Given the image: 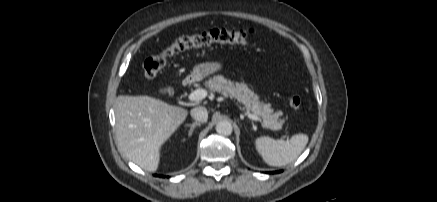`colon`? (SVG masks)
<instances>
[{
	"label": "colon",
	"instance_id": "5ec220e1",
	"mask_svg": "<svg viewBox=\"0 0 437 202\" xmlns=\"http://www.w3.org/2000/svg\"><path fill=\"white\" fill-rule=\"evenodd\" d=\"M248 39V31L227 29H212L196 35L181 36L174 39L158 54L148 57L142 66L143 74L147 79L155 78L164 68L167 58L179 52L214 43L245 44ZM289 104L291 108L298 110L302 106V99L300 96L294 95L290 97Z\"/></svg>",
	"mask_w": 437,
	"mask_h": 202
}]
</instances>
